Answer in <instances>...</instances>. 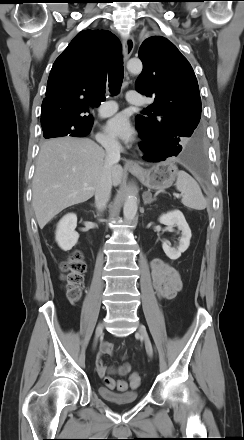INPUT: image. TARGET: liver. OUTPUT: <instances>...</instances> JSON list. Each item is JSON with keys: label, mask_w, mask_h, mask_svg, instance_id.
<instances>
[{"label": "liver", "mask_w": 244, "mask_h": 440, "mask_svg": "<svg viewBox=\"0 0 244 440\" xmlns=\"http://www.w3.org/2000/svg\"><path fill=\"white\" fill-rule=\"evenodd\" d=\"M106 164V152L88 138L63 137L44 142L32 181V206L40 229L67 207L89 200L95 193ZM118 186L122 167L110 169Z\"/></svg>", "instance_id": "6515ba94"}]
</instances>
